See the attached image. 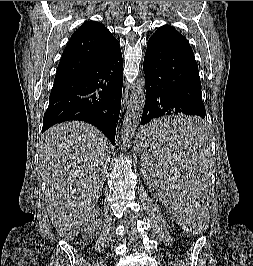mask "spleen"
I'll return each instance as SVG.
<instances>
[{
    "label": "spleen",
    "mask_w": 253,
    "mask_h": 266,
    "mask_svg": "<svg viewBox=\"0 0 253 266\" xmlns=\"http://www.w3.org/2000/svg\"><path fill=\"white\" fill-rule=\"evenodd\" d=\"M205 123L188 111L163 113L155 123H142L146 138L139 139L140 169H146L148 187L156 199L169 204L179 229L187 235H206V208L209 198L210 141H204Z\"/></svg>",
    "instance_id": "spleen-1"
}]
</instances>
